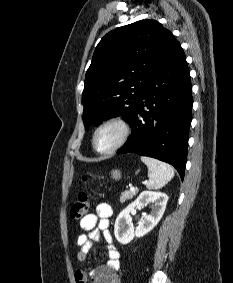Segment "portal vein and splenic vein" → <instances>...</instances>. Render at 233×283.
<instances>
[{
    "instance_id": "obj_1",
    "label": "portal vein and splenic vein",
    "mask_w": 233,
    "mask_h": 283,
    "mask_svg": "<svg viewBox=\"0 0 233 283\" xmlns=\"http://www.w3.org/2000/svg\"><path fill=\"white\" fill-rule=\"evenodd\" d=\"M137 189L133 186L130 187V191L135 192Z\"/></svg>"
}]
</instances>
